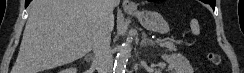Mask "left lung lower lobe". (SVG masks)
Instances as JSON below:
<instances>
[{
	"label": "left lung lower lobe",
	"instance_id": "0a47b994",
	"mask_svg": "<svg viewBox=\"0 0 244 73\" xmlns=\"http://www.w3.org/2000/svg\"><path fill=\"white\" fill-rule=\"evenodd\" d=\"M154 1V0H148ZM204 3L209 4L213 9H215V0H202Z\"/></svg>",
	"mask_w": 244,
	"mask_h": 73
}]
</instances>
